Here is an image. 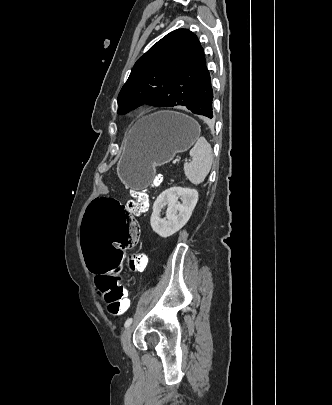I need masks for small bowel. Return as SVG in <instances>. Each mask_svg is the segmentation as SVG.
<instances>
[{
  "label": "small bowel",
  "mask_w": 332,
  "mask_h": 405,
  "mask_svg": "<svg viewBox=\"0 0 332 405\" xmlns=\"http://www.w3.org/2000/svg\"><path fill=\"white\" fill-rule=\"evenodd\" d=\"M135 220H137L136 218H135ZM137 227H139V223H138V221H137ZM137 244V243H136Z\"/></svg>",
  "instance_id": "c3829d8e"
}]
</instances>
